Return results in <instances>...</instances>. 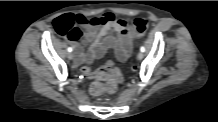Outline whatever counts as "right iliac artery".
Segmentation results:
<instances>
[{
  "label": "right iliac artery",
  "mask_w": 218,
  "mask_h": 122,
  "mask_svg": "<svg viewBox=\"0 0 218 122\" xmlns=\"http://www.w3.org/2000/svg\"><path fill=\"white\" fill-rule=\"evenodd\" d=\"M68 52H72V48L71 47H68Z\"/></svg>",
  "instance_id": "1"
}]
</instances>
